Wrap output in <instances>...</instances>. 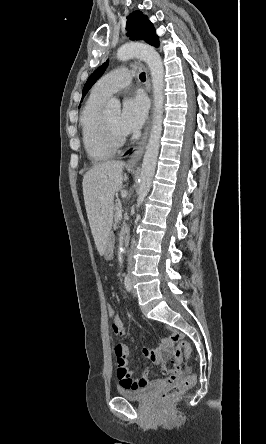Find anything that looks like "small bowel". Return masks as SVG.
I'll list each match as a JSON object with an SVG mask.
<instances>
[{"label":"small bowel","instance_id":"c3829d8e","mask_svg":"<svg viewBox=\"0 0 266 444\" xmlns=\"http://www.w3.org/2000/svg\"><path fill=\"white\" fill-rule=\"evenodd\" d=\"M111 329L115 336L122 337L126 334L125 327L119 315L112 319ZM177 338L178 333L172 332L169 336L165 337L161 341L159 347L154 349L143 348V357L150 359L155 363L164 365L171 357V348ZM127 354L128 349L124 345H117L115 347V355L118 365V379L120 387L122 388L134 390L144 388L149 385H169L177 381L181 374L179 364L173 363V368L170 370L163 366L164 373L168 374V376L164 379L150 380L147 370H144L141 378L134 379L131 371L127 367Z\"/></svg>","mask_w":266,"mask_h":444}]
</instances>
